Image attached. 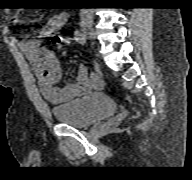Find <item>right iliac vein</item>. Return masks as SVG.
I'll list each match as a JSON object with an SVG mask.
<instances>
[{"mask_svg": "<svg viewBox=\"0 0 192 180\" xmlns=\"http://www.w3.org/2000/svg\"><path fill=\"white\" fill-rule=\"evenodd\" d=\"M81 29L82 31L91 39H95L94 29L92 27V23L89 21H82L81 22Z\"/></svg>", "mask_w": 192, "mask_h": 180, "instance_id": "obj_1", "label": "right iliac vein"}]
</instances>
